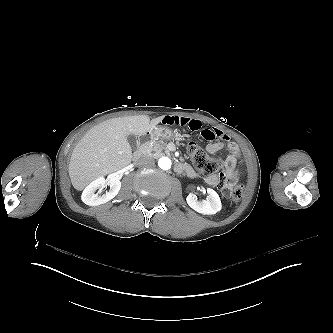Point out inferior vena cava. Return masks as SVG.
Instances as JSON below:
<instances>
[{
    "label": "inferior vena cava",
    "instance_id": "obj_1",
    "mask_svg": "<svg viewBox=\"0 0 333 333\" xmlns=\"http://www.w3.org/2000/svg\"><path fill=\"white\" fill-rule=\"evenodd\" d=\"M139 166H153L155 164V161L153 158L148 156H143L138 160Z\"/></svg>",
    "mask_w": 333,
    "mask_h": 333
}]
</instances>
